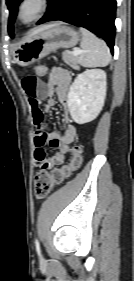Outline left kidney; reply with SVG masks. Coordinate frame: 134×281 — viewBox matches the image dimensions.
Instances as JSON below:
<instances>
[{"mask_svg":"<svg viewBox=\"0 0 134 281\" xmlns=\"http://www.w3.org/2000/svg\"><path fill=\"white\" fill-rule=\"evenodd\" d=\"M106 97V73L90 69L79 74L70 86L67 104L78 124L93 121L101 112Z\"/></svg>","mask_w":134,"mask_h":281,"instance_id":"left-kidney-1","label":"left kidney"}]
</instances>
